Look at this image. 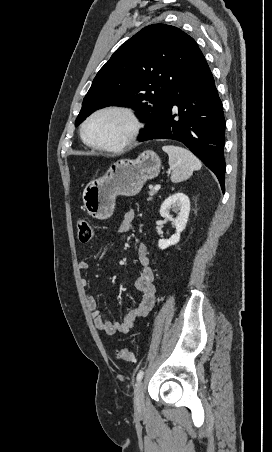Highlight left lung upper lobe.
<instances>
[{"mask_svg":"<svg viewBox=\"0 0 272 452\" xmlns=\"http://www.w3.org/2000/svg\"><path fill=\"white\" fill-rule=\"evenodd\" d=\"M198 45L179 28L152 24L120 46L100 69L75 121L106 106L136 109L146 127L156 123L172 89Z\"/></svg>","mask_w":272,"mask_h":452,"instance_id":"left-lung-upper-lobe-1","label":"left lung upper lobe"}]
</instances>
